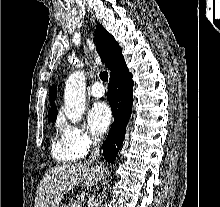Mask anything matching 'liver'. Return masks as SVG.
Segmentation results:
<instances>
[{"mask_svg": "<svg viewBox=\"0 0 220 207\" xmlns=\"http://www.w3.org/2000/svg\"><path fill=\"white\" fill-rule=\"evenodd\" d=\"M105 168L90 163H74L55 167L45 173L35 198V207H59L63 197L76 186L91 187L104 175Z\"/></svg>", "mask_w": 220, "mask_h": 207, "instance_id": "liver-1", "label": "liver"}]
</instances>
